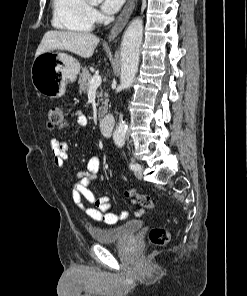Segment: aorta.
I'll list each match as a JSON object with an SVG mask.
<instances>
[{"mask_svg":"<svg viewBox=\"0 0 247 296\" xmlns=\"http://www.w3.org/2000/svg\"><path fill=\"white\" fill-rule=\"evenodd\" d=\"M92 2H101L102 0H90ZM143 38V21L135 18L126 29L121 42V73L120 86L123 89H129L138 70L139 48ZM127 125L120 122L113 133L115 145L122 147L125 144Z\"/></svg>","mask_w":247,"mask_h":296,"instance_id":"1","label":"aorta"}]
</instances>
